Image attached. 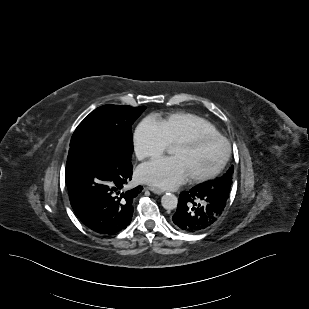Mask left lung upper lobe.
Here are the masks:
<instances>
[{
	"instance_id": "obj_1",
	"label": "left lung upper lobe",
	"mask_w": 309,
	"mask_h": 309,
	"mask_svg": "<svg viewBox=\"0 0 309 309\" xmlns=\"http://www.w3.org/2000/svg\"><path fill=\"white\" fill-rule=\"evenodd\" d=\"M234 172V167L231 166L228 171L220 178H217L215 180H210L202 185H204L207 188L223 191V192H230L231 184H232V174Z\"/></svg>"
}]
</instances>
